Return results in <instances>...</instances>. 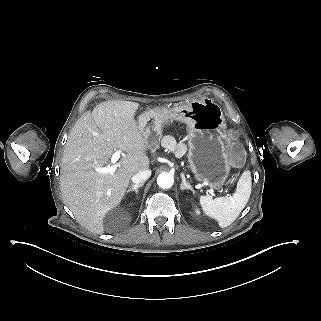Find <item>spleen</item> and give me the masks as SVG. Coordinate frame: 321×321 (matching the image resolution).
<instances>
[{"mask_svg": "<svg viewBox=\"0 0 321 321\" xmlns=\"http://www.w3.org/2000/svg\"><path fill=\"white\" fill-rule=\"evenodd\" d=\"M251 172L244 171L237 183L232 197L201 196L200 204L203 212L218 221L221 228L231 225L245 208L251 195Z\"/></svg>", "mask_w": 321, "mask_h": 321, "instance_id": "obj_1", "label": "spleen"}]
</instances>
